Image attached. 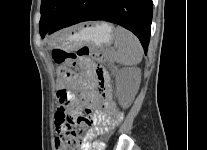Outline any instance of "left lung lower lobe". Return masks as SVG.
I'll return each mask as SVG.
<instances>
[{"label": "left lung lower lobe", "instance_id": "left-lung-lower-lobe-1", "mask_svg": "<svg viewBox=\"0 0 207 150\" xmlns=\"http://www.w3.org/2000/svg\"><path fill=\"white\" fill-rule=\"evenodd\" d=\"M152 12V0H75L49 33L84 21L104 20L133 32L139 38L146 54ZM45 34L46 32L41 36L44 37Z\"/></svg>", "mask_w": 207, "mask_h": 150}]
</instances>
